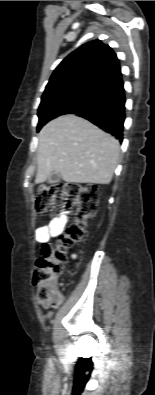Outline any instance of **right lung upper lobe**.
<instances>
[{"instance_id":"cb5924a9","label":"right lung upper lobe","mask_w":155,"mask_h":395,"mask_svg":"<svg viewBox=\"0 0 155 395\" xmlns=\"http://www.w3.org/2000/svg\"><path fill=\"white\" fill-rule=\"evenodd\" d=\"M120 74L119 60L112 48L94 40L69 54L54 70L46 87L73 81L102 87Z\"/></svg>"}]
</instances>
